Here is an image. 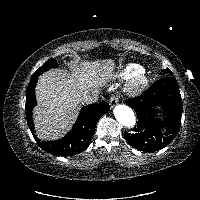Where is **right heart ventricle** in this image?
Here are the masks:
<instances>
[{"label": "right heart ventricle", "instance_id": "1", "mask_svg": "<svg viewBox=\"0 0 200 200\" xmlns=\"http://www.w3.org/2000/svg\"><path fill=\"white\" fill-rule=\"evenodd\" d=\"M142 71H144V68L141 65L137 63H126L118 69L115 77L119 80H129Z\"/></svg>", "mask_w": 200, "mask_h": 200}]
</instances>
